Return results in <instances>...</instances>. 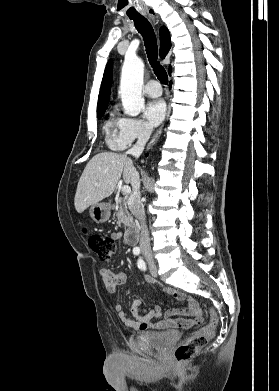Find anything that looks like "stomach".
<instances>
[{"label": "stomach", "instance_id": "obj_1", "mask_svg": "<svg viewBox=\"0 0 279 391\" xmlns=\"http://www.w3.org/2000/svg\"><path fill=\"white\" fill-rule=\"evenodd\" d=\"M90 216L96 223L106 222L110 217V207L105 203H97L91 206Z\"/></svg>", "mask_w": 279, "mask_h": 391}]
</instances>
